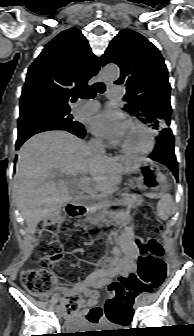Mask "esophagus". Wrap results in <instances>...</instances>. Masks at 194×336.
Listing matches in <instances>:
<instances>
[{
  "mask_svg": "<svg viewBox=\"0 0 194 336\" xmlns=\"http://www.w3.org/2000/svg\"><path fill=\"white\" fill-rule=\"evenodd\" d=\"M98 79H99V81L106 82L105 79L102 76V70H100L99 73H98Z\"/></svg>",
  "mask_w": 194,
  "mask_h": 336,
  "instance_id": "esophagus-1",
  "label": "esophagus"
}]
</instances>
